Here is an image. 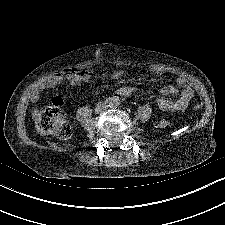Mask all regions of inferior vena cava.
<instances>
[{
	"mask_svg": "<svg viewBox=\"0 0 225 225\" xmlns=\"http://www.w3.org/2000/svg\"><path fill=\"white\" fill-rule=\"evenodd\" d=\"M103 105V103L102 104H100V106H102ZM105 108H106V106H105Z\"/></svg>",
	"mask_w": 225,
	"mask_h": 225,
	"instance_id": "inferior-vena-cava-1",
	"label": "inferior vena cava"
}]
</instances>
